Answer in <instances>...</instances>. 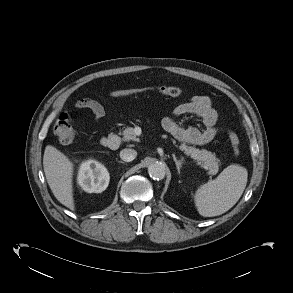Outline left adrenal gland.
I'll return each instance as SVG.
<instances>
[{"instance_id":"a2214340","label":"left adrenal gland","mask_w":293,"mask_h":293,"mask_svg":"<svg viewBox=\"0 0 293 293\" xmlns=\"http://www.w3.org/2000/svg\"><path fill=\"white\" fill-rule=\"evenodd\" d=\"M172 157H173V160L176 164V167H177V170H178V173L180 174V171H181V168H182V165L184 164L183 162V158H181V160H177L175 154H172Z\"/></svg>"}]
</instances>
